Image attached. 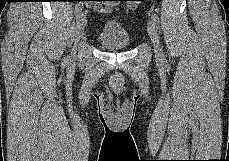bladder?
Masks as SVG:
<instances>
[{
	"label": "bladder",
	"mask_w": 229,
	"mask_h": 161,
	"mask_svg": "<svg viewBox=\"0 0 229 161\" xmlns=\"http://www.w3.org/2000/svg\"><path fill=\"white\" fill-rule=\"evenodd\" d=\"M97 41L106 50L116 51L129 47L130 39L123 25L114 18L107 19L98 36Z\"/></svg>",
	"instance_id": "31cf9c89"
}]
</instances>
